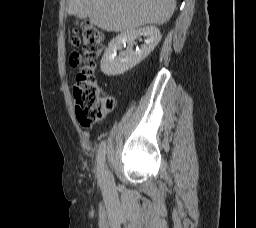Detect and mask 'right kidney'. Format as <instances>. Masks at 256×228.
Listing matches in <instances>:
<instances>
[{
  "label": "right kidney",
  "mask_w": 256,
  "mask_h": 228,
  "mask_svg": "<svg viewBox=\"0 0 256 228\" xmlns=\"http://www.w3.org/2000/svg\"><path fill=\"white\" fill-rule=\"evenodd\" d=\"M142 36L146 37L145 43L141 45L140 49L133 51L135 39ZM161 37L159 29L155 26H146L122 32L108 44L101 60V71L107 76H117L127 72L154 50ZM126 44L128 45L127 50L120 52L119 56H117V50H121L122 45Z\"/></svg>",
  "instance_id": "1"
}]
</instances>
